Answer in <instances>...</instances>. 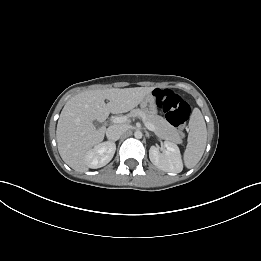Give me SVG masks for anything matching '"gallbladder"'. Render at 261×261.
<instances>
[{
  "instance_id": "obj_1",
  "label": "gallbladder",
  "mask_w": 261,
  "mask_h": 261,
  "mask_svg": "<svg viewBox=\"0 0 261 261\" xmlns=\"http://www.w3.org/2000/svg\"><path fill=\"white\" fill-rule=\"evenodd\" d=\"M93 124H94L95 127H97V128L101 127V124H100V122H98V121H94Z\"/></svg>"
}]
</instances>
